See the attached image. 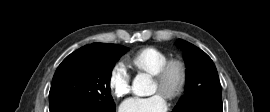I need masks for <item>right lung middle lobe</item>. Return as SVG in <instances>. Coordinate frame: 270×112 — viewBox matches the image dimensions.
I'll list each match as a JSON object with an SVG mask.
<instances>
[{
  "label": "right lung middle lobe",
  "instance_id": "dd1d6c3e",
  "mask_svg": "<svg viewBox=\"0 0 270 112\" xmlns=\"http://www.w3.org/2000/svg\"><path fill=\"white\" fill-rule=\"evenodd\" d=\"M128 50L116 44L93 43L68 55L58 66L49 92V106L90 103L115 107L110 95L114 63Z\"/></svg>",
  "mask_w": 270,
  "mask_h": 112
}]
</instances>
